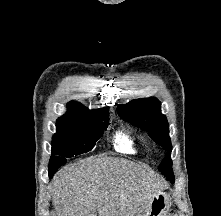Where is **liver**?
<instances>
[{"label":"liver","mask_w":221,"mask_h":216,"mask_svg":"<svg viewBox=\"0 0 221 216\" xmlns=\"http://www.w3.org/2000/svg\"><path fill=\"white\" fill-rule=\"evenodd\" d=\"M164 184L131 161L91 156L58 171L50 192L58 216H144Z\"/></svg>","instance_id":"obj_1"}]
</instances>
